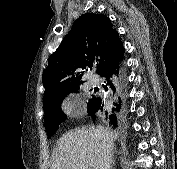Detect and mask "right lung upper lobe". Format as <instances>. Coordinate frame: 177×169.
<instances>
[{"mask_svg":"<svg viewBox=\"0 0 177 169\" xmlns=\"http://www.w3.org/2000/svg\"><path fill=\"white\" fill-rule=\"evenodd\" d=\"M124 50L118 32L106 16L83 14L49 58L42 76L44 104L83 83L86 67H92L93 63L100 74L123 60Z\"/></svg>","mask_w":177,"mask_h":169,"instance_id":"right-lung-upper-lobe-1","label":"right lung upper lobe"}]
</instances>
